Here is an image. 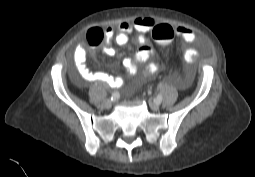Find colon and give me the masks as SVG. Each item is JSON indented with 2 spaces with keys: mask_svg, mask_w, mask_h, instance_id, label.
I'll return each mask as SVG.
<instances>
[{
  "mask_svg": "<svg viewBox=\"0 0 255 177\" xmlns=\"http://www.w3.org/2000/svg\"><path fill=\"white\" fill-rule=\"evenodd\" d=\"M175 31L168 23H159L152 30L153 38L159 43L162 48H167L170 45ZM104 38V32L100 29H92L86 35V41L89 44L96 45Z\"/></svg>",
  "mask_w": 255,
  "mask_h": 177,
  "instance_id": "5ec220e1",
  "label": "colon"
}]
</instances>
